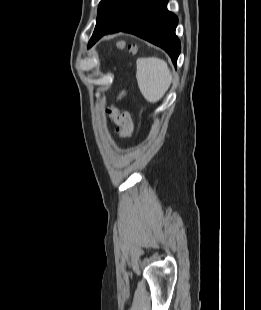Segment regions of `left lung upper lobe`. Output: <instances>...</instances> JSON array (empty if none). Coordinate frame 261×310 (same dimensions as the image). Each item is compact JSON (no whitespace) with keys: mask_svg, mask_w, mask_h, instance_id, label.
<instances>
[{"mask_svg":"<svg viewBox=\"0 0 261 310\" xmlns=\"http://www.w3.org/2000/svg\"><path fill=\"white\" fill-rule=\"evenodd\" d=\"M122 0H101L96 25L107 24L114 17Z\"/></svg>","mask_w":261,"mask_h":310,"instance_id":"left-lung-upper-lobe-1","label":"left lung upper lobe"}]
</instances>
